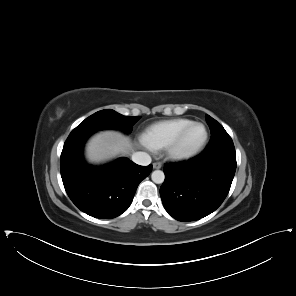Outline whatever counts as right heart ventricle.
Masks as SVG:
<instances>
[{
	"label": "right heart ventricle",
	"mask_w": 296,
	"mask_h": 296,
	"mask_svg": "<svg viewBox=\"0 0 296 296\" xmlns=\"http://www.w3.org/2000/svg\"><path fill=\"white\" fill-rule=\"evenodd\" d=\"M192 120L177 118L157 122L146 129L143 134L144 142L153 149H162L174 136Z\"/></svg>",
	"instance_id": "e07e8e85"
}]
</instances>
